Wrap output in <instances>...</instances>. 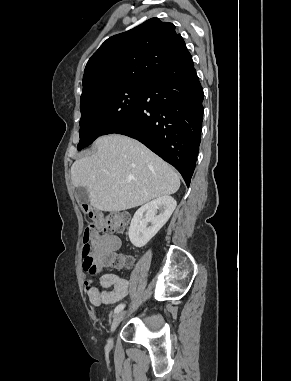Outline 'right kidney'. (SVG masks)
Returning <instances> with one entry per match:
<instances>
[{
	"label": "right kidney",
	"mask_w": 291,
	"mask_h": 381,
	"mask_svg": "<svg viewBox=\"0 0 291 381\" xmlns=\"http://www.w3.org/2000/svg\"><path fill=\"white\" fill-rule=\"evenodd\" d=\"M176 205L173 197L163 196L141 206L135 212L129 227L128 235L131 243L136 247L145 246L166 224Z\"/></svg>",
	"instance_id": "obj_1"
}]
</instances>
